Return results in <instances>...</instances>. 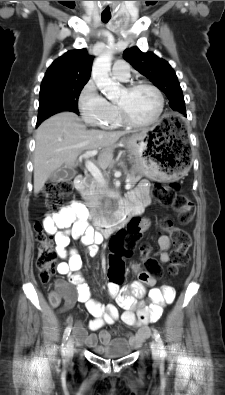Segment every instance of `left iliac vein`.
<instances>
[{
	"instance_id": "1",
	"label": "left iliac vein",
	"mask_w": 225,
	"mask_h": 395,
	"mask_svg": "<svg viewBox=\"0 0 225 395\" xmlns=\"http://www.w3.org/2000/svg\"><path fill=\"white\" fill-rule=\"evenodd\" d=\"M151 349H152V355H153L154 359L158 360L159 355H160V350H159L158 344L155 341H152Z\"/></svg>"
}]
</instances>
